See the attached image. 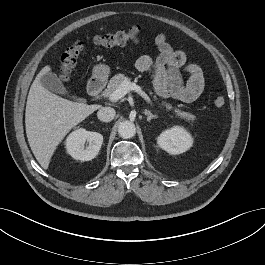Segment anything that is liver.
<instances>
[{
    "instance_id": "obj_1",
    "label": "liver",
    "mask_w": 265,
    "mask_h": 265,
    "mask_svg": "<svg viewBox=\"0 0 265 265\" xmlns=\"http://www.w3.org/2000/svg\"><path fill=\"white\" fill-rule=\"evenodd\" d=\"M51 71L46 65L33 81L26 103L25 127L30 148L43 169L66 134L99 108L59 97L40 82Z\"/></svg>"
}]
</instances>
